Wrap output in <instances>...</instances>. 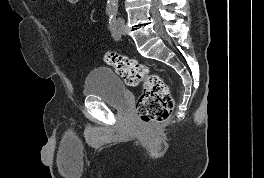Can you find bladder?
Returning <instances> with one entry per match:
<instances>
[{
  "instance_id": "bladder-1",
  "label": "bladder",
  "mask_w": 264,
  "mask_h": 178,
  "mask_svg": "<svg viewBox=\"0 0 264 178\" xmlns=\"http://www.w3.org/2000/svg\"><path fill=\"white\" fill-rule=\"evenodd\" d=\"M83 95L110 107H123L128 99L123 81L113 70L105 67L95 68L87 74L83 83Z\"/></svg>"
}]
</instances>
